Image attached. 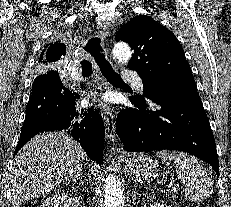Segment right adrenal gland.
<instances>
[{"label": "right adrenal gland", "instance_id": "right-adrenal-gland-1", "mask_svg": "<svg viewBox=\"0 0 231 207\" xmlns=\"http://www.w3.org/2000/svg\"><path fill=\"white\" fill-rule=\"evenodd\" d=\"M72 180L76 183L77 180H81L82 181V184H84L83 182V177H82V170L79 169L76 173H75V176L72 177Z\"/></svg>", "mask_w": 231, "mask_h": 207}]
</instances>
